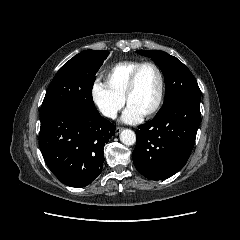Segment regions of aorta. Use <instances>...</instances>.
<instances>
[{"instance_id":"1","label":"aorta","mask_w":240,"mask_h":240,"mask_svg":"<svg viewBox=\"0 0 240 240\" xmlns=\"http://www.w3.org/2000/svg\"><path fill=\"white\" fill-rule=\"evenodd\" d=\"M120 141L127 146H131L136 142V135L130 129H124L120 133Z\"/></svg>"}]
</instances>
